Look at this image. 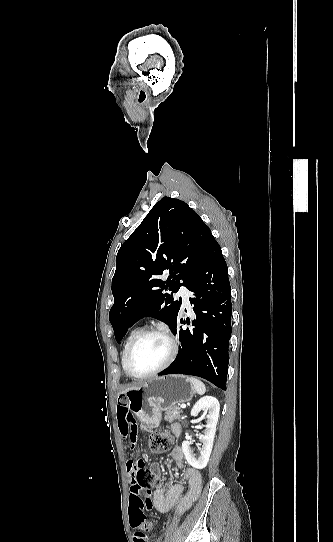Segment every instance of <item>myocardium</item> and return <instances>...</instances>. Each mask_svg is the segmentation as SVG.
<instances>
[{
    "label": "myocardium",
    "mask_w": 333,
    "mask_h": 542,
    "mask_svg": "<svg viewBox=\"0 0 333 542\" xmlns=\"http://www.w3.org/2000/svg\"><path fill=\"white\" fill-rule=\"evenodd\" d=\"M129 236H131V235H129ZM149 335H158V336L162 337L166 341V343L168 345L167 358L154 371H152V372H150L148 374H145V375H135L130 370V358H131L132 352H133L134 347L136 346V344L141 339H143L144 337L149 336ZM177 353H178L177 342H176V339H175L174 335L172 334V332L170 330H168L164 326H154V327L144 328V329H142L141 331L138 332V334L133 338V340L131 341V343H130V345L128 347L126 358H125V371L127 372V374L130 377L135 378V379H147V378L153 377V376L159 374L160 372L164 371L166 368H168L172 364V362L175 360V358L177 356Z\"/></svg>",
    "instance_id": "obj_1"
}]
</instances>
